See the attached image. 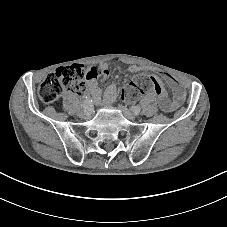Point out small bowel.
I'll list each match as a JSON object with an SVG mask.
<instances>
[{"instance_id": "1", "label": "small bowel", "mask_w": 227, "mask_h": 227, "mask_svg": "<svg viewBox=\"0 0 227 227\" xmlns=\"http://www.w3.org/2000/svg\"><path fill=\"white\" fill-rule=\"evenodd\" d=\"M142 68L137 65H131L127 68L129 73H137L141 71ZM169 85L173 92V99L169 98L162 100L159 98V106L164 112L174 111L180 106L182 101L185 98V90L177 81V79L167 72L158 71L157 72ZM109 75V64L103 63L97 66H93L87 69L86 71V83L84 91L88 92L92 103L96 105H106L115 101L117 96V86L116 84H108L102 92L98 84L103 83ZM83 91V92H84ZM149 98H153V95L150 94Z\"/></svg>"}]
</instances>
